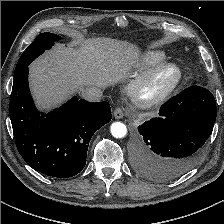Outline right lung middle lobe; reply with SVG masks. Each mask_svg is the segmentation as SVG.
I'll return each mask as SVG.
<instances>
[{"label": "right lung middle lobe", "mask_w": 224, "mask_h": 224, "mask_svg": "<svg viewBox=\"0 0 224 224\" xmlns=\"http://www.w3.org/2000/svg\"><path fill=\"white\" fill-rule=\"evenodd\" d=\"M60 39V36L53 33L45 32L39 34L21 55L15 68L14 77L18 76V74L35 58L44 53L45 50L51 48L54 42Z\"/></svg>", "instance_id": "1"}]
</instances>
